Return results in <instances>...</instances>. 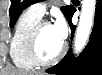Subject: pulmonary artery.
<instances>
[{"mask_svg":"<svg viewBox=\"0 0 102 75\" xmlns=\"http://www.w3.org/2000/svg\"><path fill=\"white\" fill-rule=\"evenodd\" d=\"M47 4H48V1H41V2L34 3L33 5H31L30 10L36 15L42 17L45 13Z\"/></svg>","mask_w":102,"mask_h":75,"instance_id":"e3ab8cb5","label":"pulmonary artery"}]
</instances>
